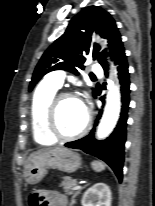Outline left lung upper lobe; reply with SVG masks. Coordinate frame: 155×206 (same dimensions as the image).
Listing matches in <instances>:
<instances>
[{
  "mask_svg": "<svg viewBox=\"0 0 155 206\" xmlns=\"http://www.w3.org/2000/svg\"><path fill=\"white\" fill-rule=\"evenodd\" d=\"M94 30L108 40L110 55L114 58L123 47L114 19L98 6L86 7L71 19L65 33L45 51L35 68L29 91L50 71L67 70L79 74L77 69H84L86 55H92L106 68V51L101 52L99 45L91 43L90 35Z\"/></svg>",
  "mask_w": 155,
  "mask_h": 206,
  "instance_id": "1",
  "label": "left lung upper lobe"
}]
</instances>
